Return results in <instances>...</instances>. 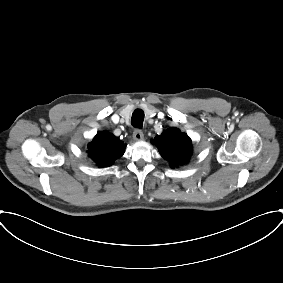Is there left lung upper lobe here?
<instances>
[{"mask_svg":"<svg viewBox=\"0 0 283 283\" xmlns=\"http://www.w3.org/2000/svg\"><path fill=\"white\" fill-rule=\"evenodd\" d=\"M161 156L174 166L183 165L191 156V139L177 128H169L154 138Z\"/></svg>","mask_w":283,"mask_h":283,"instance_id":"left-lung-upper-lobe-1","label":"left lung upper lobe"}]
</instances>
